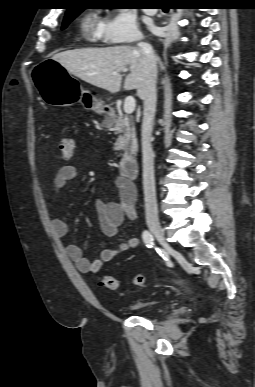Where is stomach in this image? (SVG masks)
Masks as SVG:
<instances>
[{
    "label": "stomach",
    "instance_id": "obj_1",
    "mask_svg": "<svg viewBox=\"0 0 255 387\" xmlns=\"http://www.w3.org/2000/svg\"><path fill=\"white\" fill-rule=\"evenodd\" d=\"M35 84L43 100L54 106H70L79 96L85 109L103 113L102 104L87 90L79 87L76 80L57 61L49 59L40 66H29ZM76 88V90H75Z\"/></svg>",
    "mask_w": 255,
    "mask_h": 387
}]
</instances>
